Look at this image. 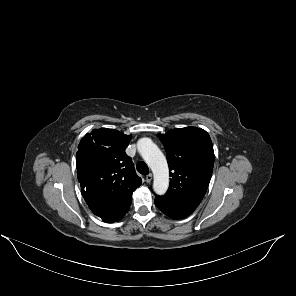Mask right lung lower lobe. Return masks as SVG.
<instances>
[{
  "label": "right lung lower lobe",
  "mask_w": 296,
  "mask_h": 296,
  "mask_svg": "<svg viewBox=\"0 0 296 296\" xmlns=\"http://www.w3.org/2000/svg\"><path fill=\"white\" fill-rule=\"evenodd\" d=\"M131 205V198L106 203H88L91 211L104 222H116L122 219Z\"/></svg>",
  "instance_id": "1"
}]
</instances>
